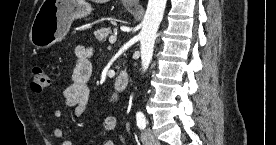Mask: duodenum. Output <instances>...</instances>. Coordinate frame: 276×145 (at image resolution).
Segmentation results:
<instances>
[{"label":"duodenum","instance_id":"410a0bca","mask_svg":"<svg viewBox=\"0 0 276 145\" xmlns=\"http://www.w3.org/2000/svg\"><path fill=\"white\" fill-rule=\"evenodd\" d=\"M129 84V76L126 71H121L117 75L114 82V90L116 93H122L126 90Z\"/></svg>","mask_w":276,"mask_h":145}]
</instances>
